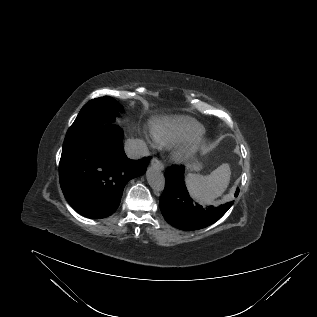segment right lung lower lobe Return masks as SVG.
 <instances>
[{
	"label": "right lung lower lobe",
	"instance_id": "obj_1",
	"mask_svg": "<svg viewBox=\"0 0 317 317\" xmlns=\"http://www.w3.org/2000/svg\"><path fill=\"white\" fill-rule=\"evenodd\" d=\"M122 138L119 126H100L62 151L60 185L79 214L93 219L111 215L126 183L146 171L150 158L130 160L123 151Z\"/></svg>",
	"mask_w": 317,
	"mask_h": 317
}]
</instances>
